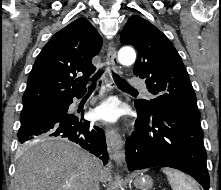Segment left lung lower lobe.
Instances as JSON below:
<instances>
[{"instance_id":"0a47b994","label":"left lung lower lobe","mask_w":221,"mask_h":190,"mask_svg":"<svg viewBox=\"0 0 221 190\" xmlns=\"http://www.w3.org/2000/svg\"><path fill=\"white\" fill-rule=\"evenodd\" d=\"M139 118L125 143L129 171L165 166L181 170L209 190L200 125L176 114L148 113L135 103Z\"/></svg>"}]
</instances>
